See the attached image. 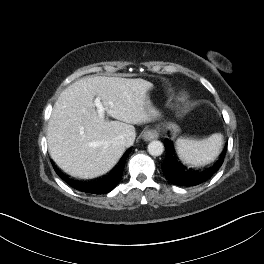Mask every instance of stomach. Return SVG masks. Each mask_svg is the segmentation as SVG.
<instances>
[{"instance_id": "stomach-1", "label": "stomach", "mask_w": 264, "mask_h": 264, "mask_svg": "<svg viewBox=\"0 0 264 264\" xmlns=\"http://www.w3.org/2000/svg\"><path fill=\"white\" fill-rule=\"evenodd\" d=\"M166 127L171 129L174 133H177L179 131V127L172 123H168Z\"/></svg>"}]
</instances>
